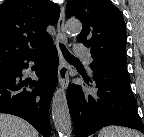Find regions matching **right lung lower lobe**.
Masks as SVG:
<instances>
[{"label": "right lung lower lobe", "mask_w": 144, "mask_h": 137, "mask_svg": "<svg viewBox=\"0 0 144 137\" xmlns=\"http://www.w3.org/2000/svg\"><path fill=\"white\" fill-rule=\"evenodd\" d=\"M50 42L0 72V113L19 116L32 124L44 137L50 135L49 105L58 73L57 49ZM25 61H34L38 80L24 79Z\"/></svg>", "instance_id": "98d812e1"}]
</instances>
